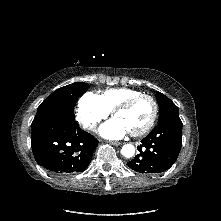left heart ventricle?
<instances>
[{
	"mask_svg": "<svg viewBox=\"0 0 221 221\" xmlns=\"http://www.w3.org/2000/svg\"><path fill=\"white\" fill-rule=\"evenodd\" d=\"M152 113V102L147 98H143L138 100L129 109L118 112L115 118L122 121L129 132H135L143 128L149 122Z\"/></svg>",
	"mask_w": 221,
	"mask_h": 221,
	"instance_id": "obj_1",
	"label": "left heart ventricle"
}]
</instances>
